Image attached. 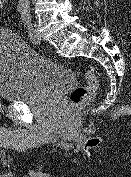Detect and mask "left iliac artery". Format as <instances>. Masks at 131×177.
<instances>
[{
  "label": "left iliac artery",
  "instance_id": "1",
  "mask_svg": "<svg viewBox=\"0 0 131 177\" xmlns=\"http://www.w3.org/2000/svg\"><path fill=\"white\" fill-rule=\"evenodd\" d=\"M21 18L24 21V24L27 28L30 40L33 43H35L36 42V33H35V30H34V27L32 26V23H31L30 11L28 9L22 10L21 11Z\"/></svg>",
  "mask_w": 131,
  "mask_h": 177
}]
</instances>
